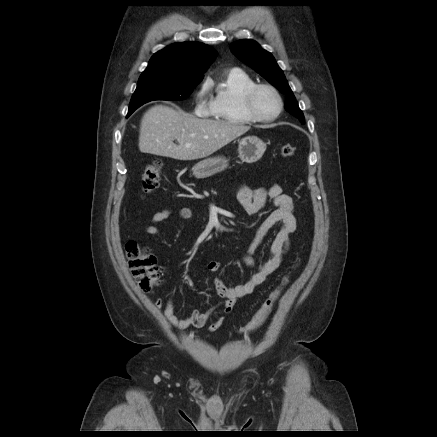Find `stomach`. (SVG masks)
I'll list each match as a JSON object with an SVG mask.
<instances>
[{"label": "stomach", "instance_id": "obj_1", "mask_svg": "<svg viewBox=\"0 0 437 437\" xmlns=\"http://www.w3.org/2000/svg\"><path fill=\"white\" fill-rule=\"evenodd\" d=\"M266 150V144L256 136H247L240 140L238 145L239 157L243 162L258 161ZM228 166L225 157L207 158L193 166L192 172L196 178H207L224 171Z\"/></svg>", "mask_w": 437, "mask_h": 437}]
</instances>
